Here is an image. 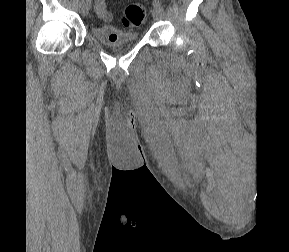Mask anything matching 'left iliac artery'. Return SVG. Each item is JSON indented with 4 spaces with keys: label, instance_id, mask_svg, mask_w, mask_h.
Instances as JSON below:
<instances>
[{
    "label": "left iliac artery",
    "instance_id": "left-iliac-artery-1",
    "mask_svg": "<svg viewBox=\"0 0 289 252\" xmlns=\"http://www.w3.org/2000/svg\"><path fill=\"white\" fill-rule=\"evenodd\" d=\"M154 7H162L161 2L159 0H153Z\"/></svg>",
    "mask_w": 289,
    "mask_h": 252
}]
</instances>
